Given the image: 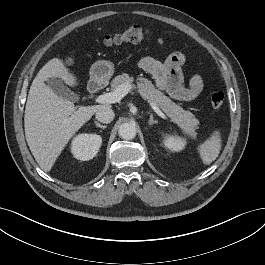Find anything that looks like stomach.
Returning a JSON list of instances; mask_svg holds the SVG:
<instances>
[{
    "instance_id": "0dacf381",
    "label": "stomach",
    "mask_w": 265,
    "mask_h": 265,
    "mask_svg": "<svg viewBox=\"0 0 265 265\" xmlns=\"http://www.w3.org/2000/svg\"><path fill=\"white\" fill-rule=\"evenodd\" d=\"M114 73V64L108 60L96 61L90 68V81L103 85L106 84Z\"/></svg>"
}]
</instances>
